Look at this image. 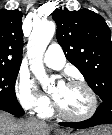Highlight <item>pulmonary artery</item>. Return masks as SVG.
<instances>
[{"mask_svg":"<svg viewBox=\"0 0 112 135\" xmlns=\"http://www.w3.org/2000/svg\"><path fill=\"white\" fill-rule=\"evenodd\" d=\"M44 63L53 69H61L65 65V55L61 46L57 43H51L44 54Z\"/></svg>","mask_w":112,"mask_h":135,"instance_id":"1","label":"pulmonary artery"}]
</instances>
